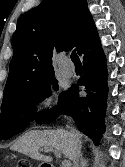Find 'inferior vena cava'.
<instances>
[{
  "instance_id": "obj_1",
  "label": "inferior vena cava",
  "mask_w": 125,
  "mask_h": 167,
  "mask_svg": "<svg viewBox=\"0 0 125 167\" xmlns=\"http://www.w3.org/2000/svg\"><path fill=\"white\" fill-rule=\"evenodd\" d=\"M70 134L74 141V160H73V167H79L78 161L80 157V150H81V141H80V133L73 127L70 129Z\"/></svg>"
}]
</instances>
